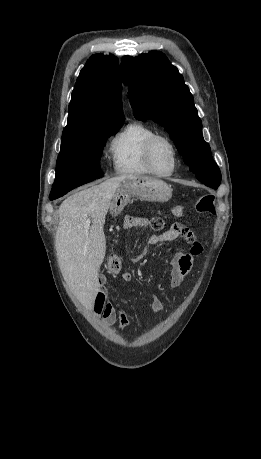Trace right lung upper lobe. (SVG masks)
Wrapping results in <instances>:
<instances>
[{
    "mask_svg": "<svg viewBox=\"0 0 261 459\" xmlns=\"http://www.w3.org/2000/svg\"><path fill=\"white\" fill-rule=\"evenodd\" d=\"M118 59L95 54L81 70L62 139L100 125L124 122Z\"/></svg>",
    "mask_w": 261,
    "mask_h": 459,
    "instance_id": "right-lung-upper-lobe-1",
    "label": "right lung upper lobe"
}]
</instances>
